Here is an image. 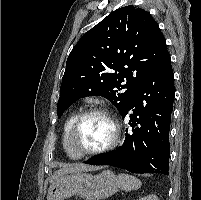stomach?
Returning <instances> with one entry per match:
<instances>
[{"instance_id": "obj_1", "label": "stomach", "mask_w": 201, "mask_h": 200, "mask_svg": "<svg viewBox=\"0 0 201 200\" xmlns=\"http://www.w3.org/2000/svg\"><path fill=\"white\" fill-rule=\"evenodd\" d=\"M118 187L117 177L109 170L98 175L74 173L53 181L47 190V200H64L73 195L85 200H101L115 194Z\"/></svg>"}]
</instances>
